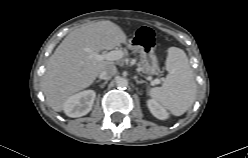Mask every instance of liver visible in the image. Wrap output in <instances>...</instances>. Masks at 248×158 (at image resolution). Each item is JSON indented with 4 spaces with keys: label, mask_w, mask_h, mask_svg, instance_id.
Listing matches in <instances>:
<instances>
[{
    "label": "liver",
    "mask_w": 248,
    "mask_h": 158,
    "mask_svg": "<svg viewBox=\"0 0 248 158\" xmlns=\"http://www.w3.org/2000/svg\"><path fill=\"white\" fill-rule=\"evenodd\" d=\"M122 29L111 21L85 24L71 31L49 58L41 86L48 105L64 109L68 98L89 87L113 61L96 60L92 53L126 44ZM90 49L91 52H87Z\"/></svg>",
    "instance_id": "obj_1"
}]
</instances>
